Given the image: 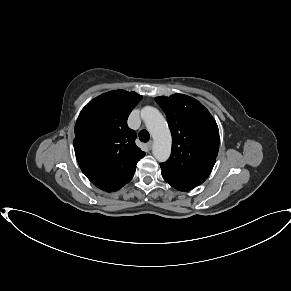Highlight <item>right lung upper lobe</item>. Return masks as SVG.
Listing matches in <instances>:
<instances>
[{"mask_svg": "<svg viewBox=\"0 0 291 291\" xmlns=\"http://www.w3.org/2000/svg\"><path fill=\"white\" fill-rule=\"evenodd\" d=\"M141 99L135 92L110 91L80 112L74 150L82 172L91 182L124 179L144 157L135 144L136 133L127 126L130 112Z\"/></svg>", "mask_w": 291, "mask_h": 291, "instance_id": "right-lung-upper-lobe-1", "label": "right lung upper lobe"}]
</instances>
